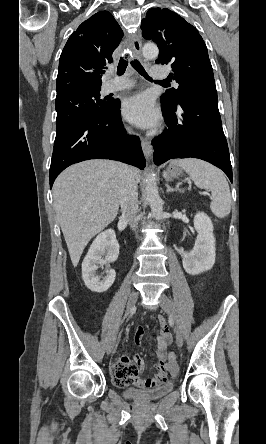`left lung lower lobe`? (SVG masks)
Masks as SVG:
<instances>
[{
  "label": "left lung lower lobe",
  "instance_id": "left-lung-lower-lobe-1",
  "mask_svg": "<svg viewBox=\"0 0 266 444\" xmlns=\"http://www.w3.org/2000/svg\"><path fill=\"white\" fill-rule=\"evenodd\" d=\"M167 128L152 141L154 162L199 158L222 169L232 182V167L217 97L184 99L175 108L162 106Z\"/></svg>",
  "mask_w": 266,
  "mask_h": 444
}]
</instances>
